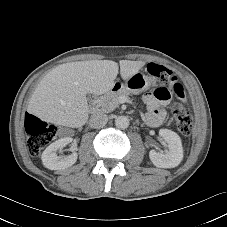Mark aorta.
<instances>
[{
    "label": "aorta",
    "mask_w": 227,
    "mask_h": 227,
    "mask_svg": "<svg viewBox=\"0 0 227 227\" xmlns=\"http://www.w3.org/2000/svg\"><path fill=\"white\" fill-rule=\"evenodd\" d=\"M115 126L120 129H126L129 126V119L126 116H118L115 119Z\"/></svg>",
    "instance_id": "1"
}]
</instances>
